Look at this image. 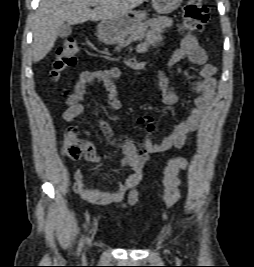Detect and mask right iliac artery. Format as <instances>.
<instances>
[{"label": "right iliac artery", "mask_w": 254, "mask_h": 267, "mask_svg": "<svg viewBox=\"0 0 254 267\" xmlns=\"http://www.w3.org/2000/svg\"><path fill=\"white\" fill-rule=\"evenodd\" d=\"M83 244H84V240L79 244V247H78V250H77V254L79 255L80 252H81V249L83 247Z\"/></svg>", "instance_id": "1"}]
</instances>
